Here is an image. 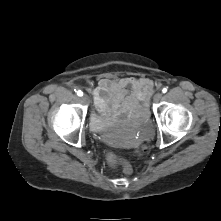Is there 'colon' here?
<instances>
[{"mask_svg":"<svg viewBox=\"0 0 221 221\" xmlns=\"http://www.w3.org/2000/svg\"><path fill=\"white\" fill-rule=\"evenodd\" d=\"M141 149L144 150L145 147H141ZM107 159H108V162L110 165H115L118 162V158L112 153L108 154ZM120 162H121V165L123 168V172L126 175L132 174V172H133L132 166L126 161H120Z\"/></svg>","mask_w":221,"mask_h":221,"instance_id":"1","label":"colon"}]
</instances>
